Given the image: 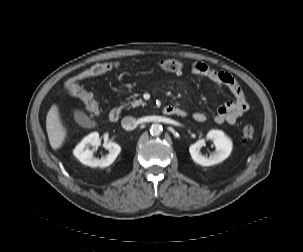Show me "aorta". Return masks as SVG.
Segmentation results:
<instances>
[{
  "label": "aorta",
  "instance_id": "1",
  "mask_svg": "<svg viewBox=\"0 0 303 252\" xmlns=\"http://www.w3.org/2000/svg\"><path fill=\"white\" fill-rule=\"evenodd\" d=\"M162 130H163V128L160 124L154 123L150 127V134L153 136H158L161 134Z\"/></svg>",
  "mask_w": 303,
  "mask_h": 252
}]
</instances>
